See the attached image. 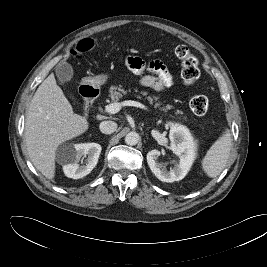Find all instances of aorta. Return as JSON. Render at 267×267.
Returning a JSON list of instances; mask_svg holds the SVG:
<instances>
[{"instance_id":"obj_1","label":"aorta","mask_w":267,"mask_h":267,"mask_svg":"<svg viewBox=\"0 0 267 267\" xmlns=\"http://www.w3.org/2000/svg\"><path fill=\"white\" fill-rule=\"evenodd\" d=\"M139 138L140 137L137 132L131 131L125 136V142L127 145L133 146L139 142Z\"/></svg>"}]
</instances>
